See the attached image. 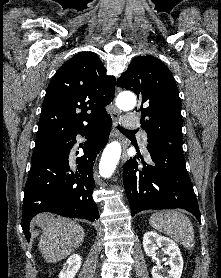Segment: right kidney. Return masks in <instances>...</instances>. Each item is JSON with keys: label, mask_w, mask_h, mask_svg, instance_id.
Listing matches in <instances>:
<instances>
[{"label": "right kidney", "mask_w": 221, "mask_h": 278, "mask_svg": "<svg viewBox=\"0 0 221 278\" xmlns=\"http://www.w3.org/2000/svg\"><path fill=\"white\" fill-rule=\"evenodd\" d=\"M82 258L78 254L71 255L63 266L59 278H74L80 269Z\"/></svg>", "instance_id": "right-kidney-1"}]
</instances>
